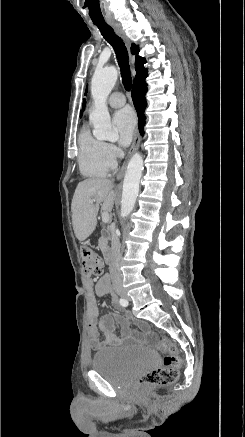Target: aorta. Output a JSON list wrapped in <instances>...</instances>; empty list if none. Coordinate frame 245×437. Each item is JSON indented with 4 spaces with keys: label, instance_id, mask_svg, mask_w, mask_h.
Masks as SVG:
<instances>
[{
    "label": "aorta",
    "instance_id": "762f6f07",
    "mask_svg": "<svg viewBox=\"0 0 245 437\" xmlns=\"http://www.w3.org/2000/svg\"><path fill=\"white\" fill-rule=\"evenodd\" d=\"M118 78L115 67L97 69L91 82V95L94 107L90 113V121L94 127V136L99 140L115 141L118 139V131L112 127L111 119L106 104L107 97L111 93ZM143 170V159L139 153L134 154L127 166L123 181L121 200V217H127L134 209L139 193V183Z\"/></svg>",
    "mask_w": 245,
    "mask_h": 437
}]
</instances>
